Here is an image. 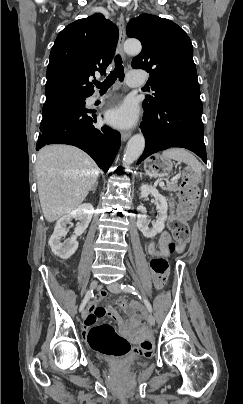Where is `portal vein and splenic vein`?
<instances>
[{"label":"portal vein and splenic vein","instance_id":"18ae733b","mask_svg":"<svg viewBox=\"0 0 243 404\" xmlns=\"http://www.w3.org/2000/svg\"><path fill=\"white\" fill-rule=\"evenodd\" d=\"M158 185L160 186V188H163V186H164V182L159 181V182H158Z\"/></svg>","mask_w":243,"mask_h":404}]
</instances>
